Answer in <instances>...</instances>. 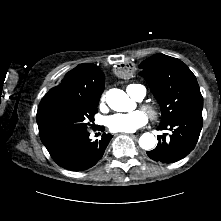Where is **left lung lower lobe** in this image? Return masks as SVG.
<instances>
[{
    "instance_id": "1",
    "label": "left lung lower lobe",
    "mask_w": 221,
    "mask_h": 221,
    "mask_svg": "<svg viewBox=\"0 0 221 221\" xmlns=\"http://www.w3.org/2000/svg\"><path fill=\"white\" fill-rule=\"evenodd\" d=\"M202 125V110L191 111L175 117L166 124H161L162 130L172 131L170 139H166V134L158 136V145L155 149L147 152L148 156L162 163H174L183 159L195 148ZM167 148L173 149L169 155L164 153Z\"/></svg>"
}]
</instances>
